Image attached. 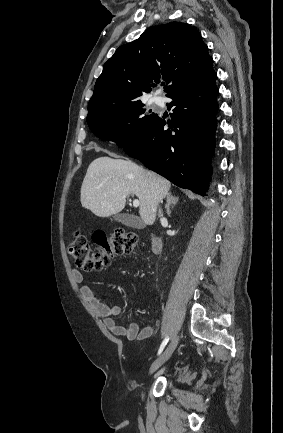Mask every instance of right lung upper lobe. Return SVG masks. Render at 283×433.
I'll return each mask as SVG.
<instances>
[{
  "label": "right lung upper lobe",
  "instance_id": "right-lung-upper-lobe-1",
  "mask_svg": "<svg viewBox=\"0 0 283 433\" xmlns=\"http://www.w3.org/2000/svg\"><path fill=\"white\" fill-rule=\"evenodd\" d=\"M216 73L200 33L187 23L153 26L120 46L104 64L88 104V115L131 103L163 79L167 96L200 84Z\"/></svg>",
  "mask_w": 283,
  "mask_h": 433
}]
</instances>
